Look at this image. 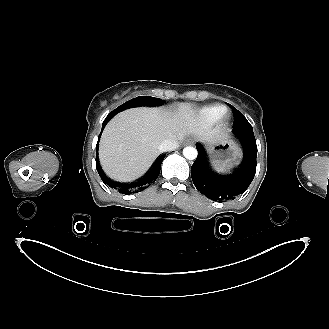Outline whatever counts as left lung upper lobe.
<instances>
[{"label": "left lung upper lobe", "mask_w": 329, "mask_h": 329, "mask_svg": "<svg viewBox=\"0 0 329 329\" xmlns=\"http://www.w3.org/2000/svg\"><path fill=\"white\" fill-rule=\"evenodd\" d=\"M230 107L232 108V110L235 114L234 123H233L234 128L239 127V126L250 125V123L247 121V119L244 117V115L240 111H238L232 105H230Z\"/></svg>", "instance_id": "5c2ea615"}]
</instances>
